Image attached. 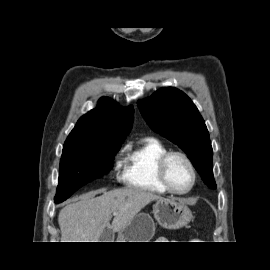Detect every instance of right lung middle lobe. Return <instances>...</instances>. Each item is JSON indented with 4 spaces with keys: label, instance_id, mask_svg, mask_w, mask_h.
Listing matches in <instances>:
<instances>
[{
    "label": "right lung middle lobe",
    "instance_id": "dd1d6c3e",
    "mask_svg": "<svg viewBox=\"0 0 270 270\" xmlns=\"http://www.w3.org/2000/svg\"><path fill=\"white\" fill-rule=\"evenodd\" d=\"M121 144L122 142L109 144L65 142L55 203L63 202L86 183L110 171L115 153Z\"/></svg>",
    "mask_w": 270,
    "mask_h": 270
}]
</instances>
